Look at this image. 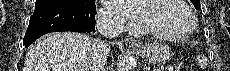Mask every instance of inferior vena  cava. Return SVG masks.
Returning a JSON list of instances; mask_svg holds the SVG:
<instances>
[{"mask_svg":"<svg viewBox=\"0 0 230 71\" xmlns=\"http://www.w3.org/2000/svg\"><path fill=\"white\" fill-rule=\"evenodd\" d=\"M96 28L105 39H112L123 32V22L105 12H99L96 17ZM110 43L99 38L91 42L90 56L85 71H104L109 54Z\"/></svg>","mask_w":230,"mask_h":71,"instance_id":"obj_1","label":"inferior vena cava"}]
</instances>
